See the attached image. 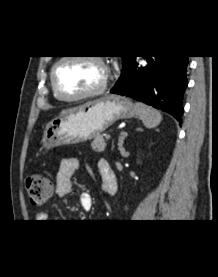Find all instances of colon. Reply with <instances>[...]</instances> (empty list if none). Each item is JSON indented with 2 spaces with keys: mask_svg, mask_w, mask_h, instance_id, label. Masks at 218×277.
Listing matches in <instances>:
<instances>
[{
  "mask_svg": "<svg viewBox=\"0 0 218 277\" xmlns=\"http://www.w3.org/2000/svg\"><path fill=\"white\" fill-rule=\"evenodd\" d=\"M29 200L34 205L45 204L53 194L52 181L40 174H33L26 181Z\"/></svg>",
  "mask_w": 218,
  "mask_h": 277,
  "instance_id": "5ec220e1",
  "label": "colon"
}]
</instances>
